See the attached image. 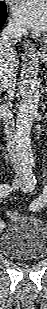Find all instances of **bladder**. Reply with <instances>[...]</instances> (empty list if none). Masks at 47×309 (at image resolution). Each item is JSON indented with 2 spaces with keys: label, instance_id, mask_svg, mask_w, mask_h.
<instances>
[{
  "label": "bladder",
  "instance_id": "31cf9c89",
  "mask_svg": "<svg viewBox=\"0 0 47 309\" xmlns=\"http://www.w3.org/2000/svg\"><path fill=\"white\" fill-rule=\"evenodd\" d=\"M0 250L11 259H37L47 251V227L36 217L17 215L1 234Z\"/></svg>",
  "mask_w": 47,
  "mask_h": 309
}]
</instances>
